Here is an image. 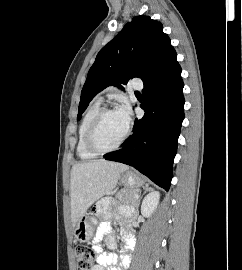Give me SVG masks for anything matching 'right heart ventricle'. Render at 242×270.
Returning a JSON list of instances; mask_svg holds the SVG:
<instances>
[{
  "mask_svg": "<svg viewBox=\"0 0 242 270\" xmlns=\"http://www.w3.org/2000/svg\"><path fill=\"white\" fill-rule=\"evenodd\" d=\"M101 110V104L99 101L92 104L86 113L84 114L78 132V141H77V154L82 160H89L95 158L97 155L90 152L85 145V137L89 125L91 124L94 117Z\"/></svg>",
  "mask_w": 242,
  "mask_h": 270,
  "instance_id": "obj_1",
  "label": "right heart ventricle"
}]
</instances>
